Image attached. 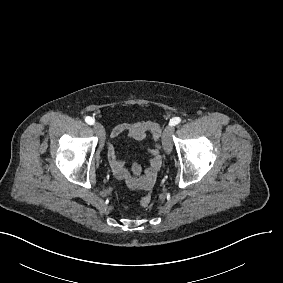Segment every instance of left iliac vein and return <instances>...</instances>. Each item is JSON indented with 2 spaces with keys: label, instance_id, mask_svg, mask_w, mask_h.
<instances>
[{
  "label": "left iliac vein",
  "instance_id": "1",
  "mask_svg": "<svg viewBox=\"0 0 283 283\" xmlns=\"http://www.w3.org/2000/svg\"><path fill=\"white\" fill-rule=\"evenodd\" d=\"M173 131H174L173 126L169 125L165 127L162 133V144H163L164 151L167 154H170L173 149L172 139H171Z\"/></svg>",
  "mask_w": 283,
  "mask_h": 283
}]
</instances>
